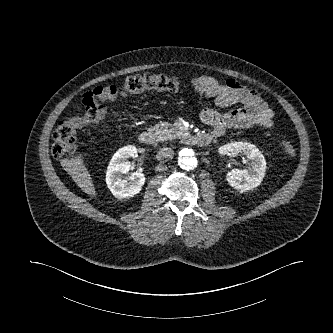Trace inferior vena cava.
I'll return each instance as SVG.
<instances>
[{"label": "inferior vena cava", "mask_w": 333, "mask_h": 333, "mask_svg": "<svg viewBox=\"0 0 333 333\" xmlns=\"http://www.w3.org/2000/svg\"><path fill=\"white\" fill-rule=\"evenodd\" d=\"M174 156V152L171 148H161L158 152H157V159L158 160H171Z\"/></svg>", "instance_id": "602c4592"}]
</instances>
